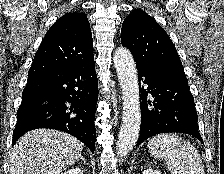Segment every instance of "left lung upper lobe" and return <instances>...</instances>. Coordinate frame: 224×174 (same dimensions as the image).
I'll list each match as a JSON object with an SVG mask.
<instances>
[{"instance_id": "left-lung-upper-lobe-1", "label": "left lung upper lobe", "mask_w": 224, "mask_h": 174, "mask_svg": "<svg viewBox=\"0 0 224 174\" xmlns=\"http://www.w3.org/2000/svg\"><path fill=\"white\" fill-rule=\"evenodd\" d=\"M121 43L131 51L136 66L185 76L173 42L143 10L135 9L124 19Z\"/></svg>"}]
</instances>
